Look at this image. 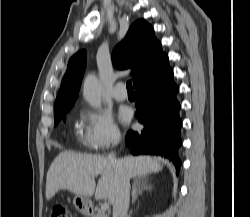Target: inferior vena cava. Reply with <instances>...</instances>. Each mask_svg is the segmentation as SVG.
<instances>
[{
    "mask_svg": "<svg viewBox=\"0 0 250 217\" xmlns=\"http://www.w3.org/2000/svg\"><path fill=\"white\" fill-rule=\"evenodd\" d=\"M119 141L120 139L116 138L113 141V145H117ZM108 159L116 171V192L113 202V217H127L130 199V178L124 168L118 163L113 152L109 154Z\"/></svg>",
    "mask_w": 250,
    "mask_h": 217,
    "instance_id": "1",
    "label": "inferior vena cava"
}]
</instances>
